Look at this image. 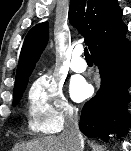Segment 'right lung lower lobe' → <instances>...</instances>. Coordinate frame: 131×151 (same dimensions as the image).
I'll use <instances>...</instances> for the list:
<instances>
[{
    "instance_id": "1",
    "label": "right lung lower lobe",
    "mask_w": 131,
    "mask_h": 151,
    "mask_svg": "<svg viewBox=\"0 0 131 151\" xmlns=\"http://www.w3.org/2000/svg\"><path fill=\"white\" fill-rule=\"evenodd\" d=\"M127 29L91 52L99 67L101 87L96 96L83 106L79 128L88 137L108 139L110 131L123 136L131 123L126 106L130 98L131 42L125 36ZM118 117L116 126L110 119Z\"/></svg>"
}]
</instances>
